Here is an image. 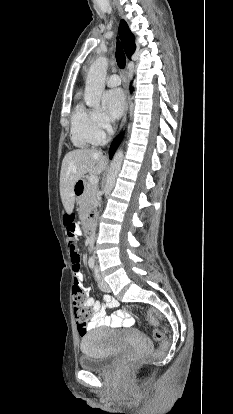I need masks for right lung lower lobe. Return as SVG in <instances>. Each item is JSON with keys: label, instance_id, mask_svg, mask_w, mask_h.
Segmentation results:
<instances>
[{"label": "right lung lower lobe", "instance_id": "right-lung-lower-lobe-1", "mask_svg": "<svg viewBox=\"0 0 233 414\" xmlns=\"http://www.w3.org/2000/svg\"><path fill=\"white\" fill-rule=\"evenodd\" d=\"M130 89L132 90V88H130ZM121 139H122V136H119V138H117L113 141V143L110 147V150H109L110 158H112L113 154L115 153L119 143L121 142Z\"/></svg>", "mask_w": 233, "mask_h": 414}]
</instances>
